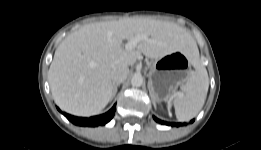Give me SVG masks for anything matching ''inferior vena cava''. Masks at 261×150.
<instances>
[{
    "instance_id": "obj_1",
    "label": "inferior vena cava",
    "mask_w": 261,
    "mask_h": 150,
    "mask_svg": "<svg viewBox=\"0 0 261 150\" xmlns=\"http://www.w3.org/2000/svg\"><path fill=\"white\" fill-rule=\"evenodd\" d=\"M129 74L127 66H115L111 71V79L113 84H120L126 80Z\"/></svg>"
}]
</instances>
